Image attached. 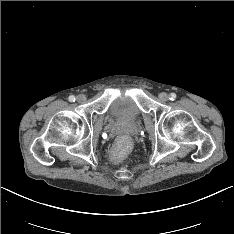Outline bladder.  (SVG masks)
<instances>
[{"mask_svg":"<svg viewBox=\"0 0 234 234\" xmlns=\"http://www.w3.org/2000/svg\"><path fill=\"white\" fill-rule=\"evenodd\" d=\"M107 115L120 122L132 123L140 117V110L131 97L121 95L110 102Z\"/></svg>","mask_w":234,"mask_h":234,"instance_id":"obj_1","label":"bladder"}]
</instances>
